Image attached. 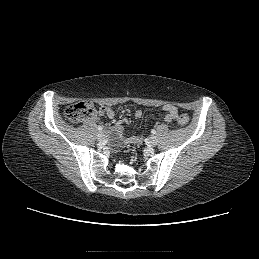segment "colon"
I'll return each instance as SVG.
<instances>
[{"label":"colon","mask_w":259,"mask_h":259,"mask_svg":"<svg viewBox=\"0 0 259 259\" xmlns=\"http://www.w3.org/2000/svg\"><path fill=\"white\" fill-rule=\"evenodd\" d=\"M97 111L98 109L94 103L81 101L69 105L65 109L64 114L70 122L77 123L81 120L95 116ZM176 119L181 126H186L189 122V118L186 114H179Z\"/></svg>","instance_id":"colon-1"}]
</instances>
